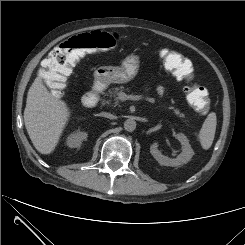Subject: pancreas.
Segmentation results:
<instances>
[{"instance_id": "obj_1", "label": "pancreas", "mask_w": 245, "mask_h": 245, "mask_svg": "<svg viewBox=\"0 0 245 245\" xmlns=\"http://www.w3.org/2000/svg\"><path fill=\"white\" fill-rule=\"evenodd\" d=\"M124 90V87H114L108 90L105 93V98L102 100V105H110V106H117L118 105V97L119 94ZM174 113L179 116L180 118H184L185 115L180 113L178 109H174Z\"/></svg>"}]
</instances>
